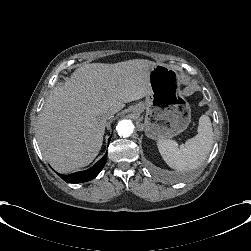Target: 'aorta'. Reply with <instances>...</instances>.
I'll list each match as a JSON object with an SVG mask.
<instances>
[{"instance_id": "aorta-1", "label": "aorta", "mask_w": 251, "mask_h": 251, "mask_svg": "<svg viewBox=\"0 0 251 251\" xmlns=\"http://www.w3.org/2000/svg\"><path fill=\"white\" fill-rule=\"evenodd\" d=\"M118 135L121 137H129L134 130V125L131 120H121L116 126Z\"/></svg>"}]
</instances>
